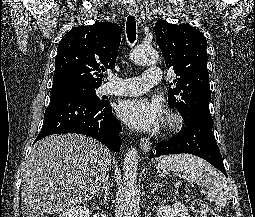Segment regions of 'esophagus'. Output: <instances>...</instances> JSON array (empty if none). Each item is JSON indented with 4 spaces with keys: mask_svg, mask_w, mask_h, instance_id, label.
I'll list each match as a JSON object with an SVG mask.
<instances>
[{
    "mask_svg": "<svg viewBox=\"0 0 255 217\" xmlns=\"http://www.w3.org/2000/svg\"><path fill=\"white\" fill-rule=\"evenodd\" d=\"M128 14L129 15H134L137 16L138 14V6L136 5V3H131L128 6ZM151 141L148 138H142L140 141V146L141 149L143 150V152H148L151 149Z\"/></svg>",
    "mask_w": 255,
    "mask_h": 217,
    "instance_id": "1",
    "label": "esophagus"
}]
</instances>
